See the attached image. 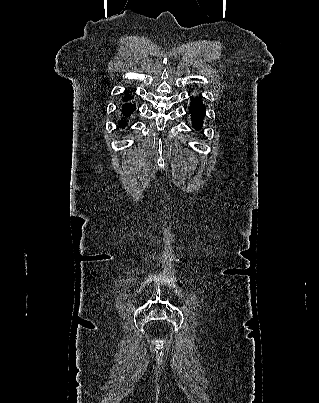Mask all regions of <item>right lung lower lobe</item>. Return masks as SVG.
Instances as JSON below:
<instances>
[{
	"mask_svg": "<svg viewBox=\"0 0 319 403\" xmlns=\"http://www.w3.org/2000/svg\"><path fill=\"white\" fill-rule=\"evenodd\" d=\"M132 97L129 99H126L124 101L130 100ZM135 111V105L132 103H125L121 107V116L122 118L119 120V127L124 128L127 126V121L128 118L131 116V114Z\"/></svg>",
	"mask_w": 319,
	"mask_h": 403,
	"instance_id": "98d812e1",
	"label": "right lung lower lobe"
}]
</instances>
